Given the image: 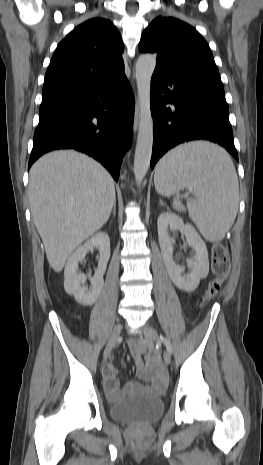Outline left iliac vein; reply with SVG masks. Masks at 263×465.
I'll use <instances>...</instances> for the list:
<instances>
[{"label": "left iliac vein", "instance_id": "4c4485c4", "mask_svg": "<svg viewBox=\"0 0 263 465\" xmlns=\"http://www.w3.org/2000/svg\"><path fill=\"white\" fill-rule=\"evenodd\" d=\"M143 332H144L145 337L149 341H156L158 338V333L156 329L150 325H145L143 327ZM163 359H164L165 364L169 365L171 363V355L168 351L163 352Z\"/></svg>", "mask_w": 263, "mask_h": 465}]
</instances>
